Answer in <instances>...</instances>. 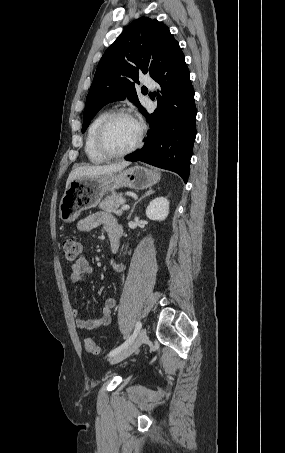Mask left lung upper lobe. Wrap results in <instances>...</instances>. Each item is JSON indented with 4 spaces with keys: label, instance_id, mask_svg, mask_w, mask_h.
Segmentation results:
<instances>
[{
    "label": "left lung upper lobe",
    "instance_id": "5c2ea615",
    "mask_svg": "<svg viewBox=\"0 0 285 453\" xmlns=\"http://www.w3.org/2000/svg\"><path fill=\"white\" fill-rule=\"evenodd\" d=\"M177 44L169 28L156 19L141 17L131 23L99 61L86 98L82 132L109 102L127 97L142 112L134 82L140 73L153 78Z\"/></svg>",
    "mask_w": 285,
    "mask_h": 453
}]
</instances>
